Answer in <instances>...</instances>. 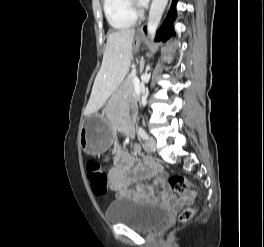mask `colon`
Wrapping results in <instances>:
<instances>
[{
    "label": "colon",
    "mask_w": 264,
    "mask_h": 247,
    "mask_svg": "<svg viewBox=\"0 0 264 247\" xmlns=\"http://www.w3.org/2000/svg\"><path fill=\"white\" fill-rule=\"evenodd\" d=\"M86 173L90 181L93 192L98 196H104L108 190L109 176L102 166L95 161L86 164ZM185 177L181 175H172L168 179L169 188L177 194L184 197L185 202L191 203L196 197L195 192L189 191L192 186ZM194 215L192 207H186L179 215L181 222H187Z\"/></svg>",
    "instance_id": "1"
}]
</instances>
